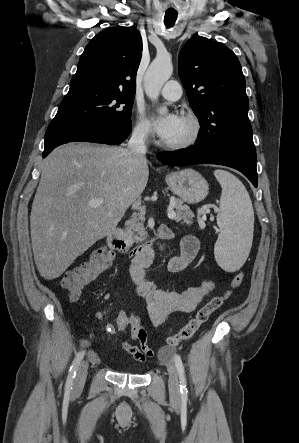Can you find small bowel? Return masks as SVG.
Wrapping results in <instances>:
<instances>
[{"label":"small bowel","mask_w":299,"mask_h":443,"mask_svg":"<svg viewBox=\"0 0 299 443\" xmlns=\"http://www.w3.org/2000/svg\"><path fill=\"white\" fill-rule=\"evenodd\" d=\"M168 230L172 238L174 234L171 229L168 228ZM198 249L199 242L195 236L188 235L184 237L181 242L180 253L167 259L168 270L180 272L185 269L195 258ZM129 272L138 294L145 301L148 316L156 327L162 326L174 312H193L214 288V284L211 281L203 280L199 286L190 287L182 292L166 291L158 288L153 281L146 278L145 266H140L133 262ZM95 317L98 320L103 318L99 312L95 314ZM105 330L111 335L116 333L114 325L111 323L106 325ZM123 348L139 363L145 362L154 355L153 350L147 345V332L138 345L125 340L123 341ZM89 355L92 359H96L94 353Z\"/></svg>","instance_id":"1"}]
</instances>
